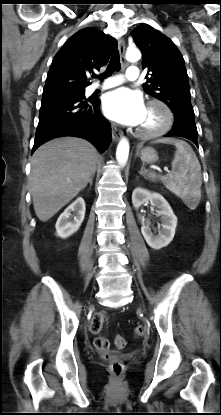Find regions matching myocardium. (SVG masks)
I'll return each instance as SVG.
<instances>
[{
  "instance_id": "f54148a6",
  "label": "myocardium",
  "mask_w": 221,
  "mask_h": 415,
  "mask_svg": "<svg viewBox=\"0 0 221 415\" xmlns=\"http://www.w3.org/2000/svg\"><path fill=\"white\" fill-rule=\"evenodd\" d=\"M147 106H158L159 108H161L164 114V121L162 125L155 130L145 131L140 128H137L136 134L139 137L149 139L159 137L168 132L172 127L174 121V115L169 105L160 99H151L147 102Z\"/></svg>"
}]
</instances>
